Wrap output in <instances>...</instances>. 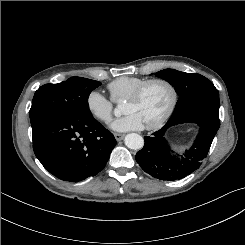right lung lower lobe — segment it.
<instances>
[{
  "instance_id": "obj_1",
  "label": "right lung lower lobe",
  "mask_w": 245,
  "mask_h": 245,
  "mask_svg": "<svg viewBox=\"0 0 245 245\" xmlns=\"http://www.w3.org/2000/svg\"><path fill=\"white\" fill-rule=\"evenodd\" d=\"M31 125L36 157L64 181L79 182L98 174L116 145L113 134L93 117L69 120L48 114Z\"/></svg>"
}]
</instances>
